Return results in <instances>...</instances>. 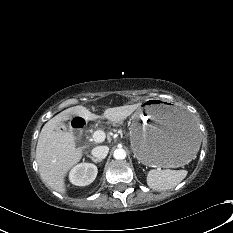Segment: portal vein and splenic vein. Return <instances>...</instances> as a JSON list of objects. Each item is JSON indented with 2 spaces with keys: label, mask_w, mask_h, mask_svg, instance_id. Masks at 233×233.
<instances>
[{
  "label": "portal vein and splenic vein",
  "mask_w": 233,
  "mask_h": 233,
  "mask_svg": "<svg viewBox=\"0 0 233 233\" xmlns=\"http://www.w3.org/2000/svg\"><path fill=\"white\" fill-rule=\"evenodd\" d=\"M92 138H93L94 142L101 143V142H103L105 140L106 135H105L104 131H102V130H96L93 133Z\"/></svg>",
  "instance_id": "obj_1"
}]
</instances>
